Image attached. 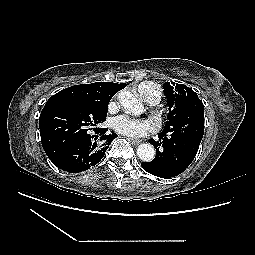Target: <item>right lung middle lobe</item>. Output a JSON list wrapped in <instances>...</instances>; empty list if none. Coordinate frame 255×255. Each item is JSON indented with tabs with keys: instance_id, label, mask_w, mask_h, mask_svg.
Instances as JSON below:
<instances>
[{
	"instance_id": "obj_1",
	"label": "right lung middle lobe",
	"mask_w": 255,
	"mask_h": 255,
	"mask_svg": "<svg viewBox=\"0 0 255 255\" xmlns=\"http://www.w3.org/2000/svg\"><path fill=\"white\" fill-rule=\"evenodd\" d=\"M109 101H68L46 103L40 118V135L46 142L60 146L88 133L106 120Z\"/></svg>"
}]
</instances>
